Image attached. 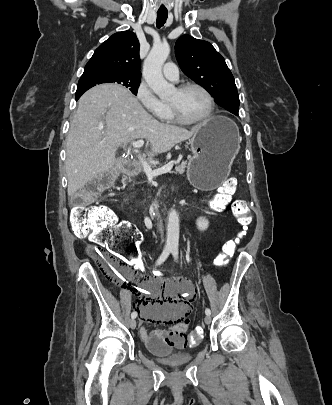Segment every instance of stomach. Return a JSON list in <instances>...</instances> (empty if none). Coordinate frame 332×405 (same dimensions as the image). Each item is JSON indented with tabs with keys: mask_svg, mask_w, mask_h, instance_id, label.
<instances>
[{
	"mask_svg": "<svg viewBox=\"0 0 332 405\" xmlns=\"http://www.w3.org/2000/svg\"><path fill=\"white\" fill-rule=\"evenodd\" d=\"M241 138L236 124L224 116H213L198 126L191 138L192 157L188 178L199 188L212 190L229 176Z\"/></svg>",
	"mask_w": 332,
	"mask_h": 405,
	"instance_id": "obj_1",
	"label": "stomach"
}]
</instances>
